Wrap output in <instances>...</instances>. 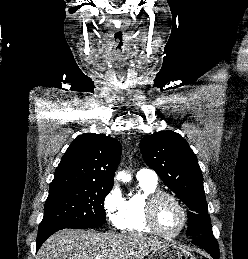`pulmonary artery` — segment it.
<instances>
[{"mask_svg":"<svg viewBox=\"0 0 248 259\" xmlns=\"http://www.w3.org/2000/svg\"><path fill=\"white\" fill-rule=\"evenodd\" d=\"M136 176L138 180H144L151 183H157V180H158L157 173L154 170L149 168H141L137 172Z\"/></svg>","mask_w":248,"mask_h":259,"instance_id":"pulmonary-artery-1","label":"pulmonary artery"}]
</instances>
